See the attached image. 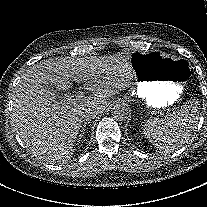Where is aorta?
<instances>
[{"instance_id": "1", "label": "aorta", "mask_w": 207, "mask_h": 207, "mask_svg": "<svg viewBox=\"0 0 207 207\" xmlns=\"http://www.w3.org/2000/svg\"><path fill=\"white\" fill-rule=\"evenodd\" d=\"M129 112L126 104H116L112 110V116L117 121H123L128 118Z\"/></svg>"}]
</instances>
